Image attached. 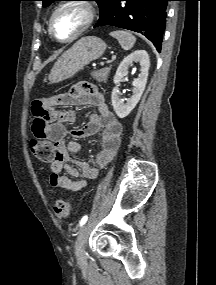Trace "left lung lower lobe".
Wrapping results in <instances>:
<instances>
[{
  "mask_svg": "<svg viewBox=\"0 0 216 285\" xmlns=\"http://www.w3.org/2000/svg\"><path fill=\"white\" fill-rule=\"evenodd\" d=\"M170 0H114L95 27L116 26L146 36L160 52Z\"/></svg>",
  "mask_w": 216,
  "mask_h": 285,
  "instance_id": "left-lung-lower-lobe-1",
  "label": "left lung lower lobe"
}]
</instances>
